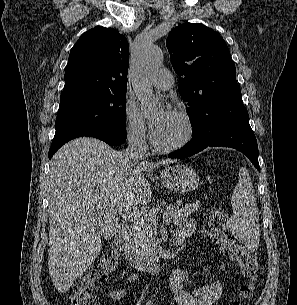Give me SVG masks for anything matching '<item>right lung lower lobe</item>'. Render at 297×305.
<instances>
[{
  "instance_id": "98d812e1",
  "label": "right lung lower lobe",
  "mask_w": 297,
  "mask_h": 305,
  "mask_svg": "<svg viewBox=\"0 0 297 305\" xmlns=\"http://www.w3.org/2000/svg\"><path fill=\"white\" fill-rule=\"evenodd\" d=\"M83 136H89V137H95L98 138L107 144L111 146H117L125 142L126 140V131L125 130H114V129H93V130H87L84 132H81L77 134L76 136L68 139L61 145L57 147H51L48 153L49 159L52 158L53 154L66 142H68L71 139L77 138V137H83Z\"/></svg>"
}]
</instances>
